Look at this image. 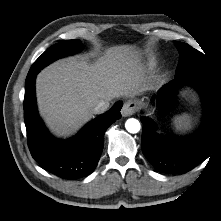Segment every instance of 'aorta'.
<instances>
[{"instance_id": "1", "label": "aorta", "mask_w": 221, "mask_h": 221, "mask_svg": "<svg viewBox=\"0 0 221 221\" xmlns=\"http://www.w3.org/2000/svg\"><path fill=\"white\" fill-rule=\"evenodd\" d=\"M125 128L129 133H138L141 129L140 122L135 118H130L125 123Z\"/></svg>"}]
</instances>
